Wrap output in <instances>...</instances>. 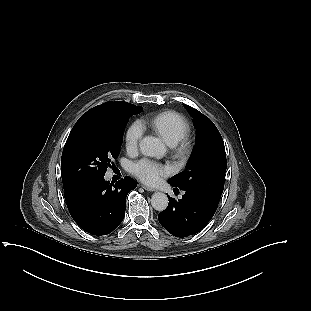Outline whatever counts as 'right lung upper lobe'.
I'll return each mask as SVG.
<instances>
[{"instance_id": "obj_1", "label": "right lung upper lobe", "mask_w": 311, "mask_h": 311, "mask_svg": "<svg viewBox=\"0 0 311 311\" xmlns=\"http://www.w3.org/2000/svg\"><path fill=\"white\" fill-rule=\"evenodd\" d=\"M109 104H112V105H118V106H123V107H126L128 109H131V110H136V111H139L141 110L140 107H137L133 104H130V103H127V102H124V101H116V102H107V103H104L100 106H103V105H109Z\"/></svg>"}]
</instances>
